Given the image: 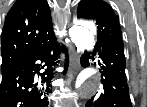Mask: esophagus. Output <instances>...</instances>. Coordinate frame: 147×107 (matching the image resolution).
<instances>
[{
    "label": "esophagus",
    "mask_w": 147,
    "mask_h": 107,
    "mask_svg": "<svg viewBox=\"0 0 147 107\" xmlns=\"http://www.w3.org/2000/svg\"><path fill=\"white\" fill-rule=\"evenodd\" d=\"M73 68L77 69L79 67V56L76 55L73 62H72Z\"/></svg>",
    "instance_id": "obj_1"
}]
</instances>
